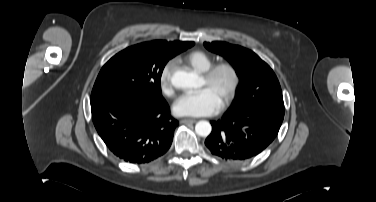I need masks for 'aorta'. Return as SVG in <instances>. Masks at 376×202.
Listing matches in <instances>:
<instances>
[{
  "mask_svg": "<svg viewBox=\"0 0 376 202\" xmlns=\"http://www.w3.org/2000/svg\"><path fill=\"white\" fill-rule=\"evenodd\" d=\"M198 79L199 77L195 72L178 70L173 74L171 83L175 88L189 89L198 85ZM211 130V124L205 120H201L195 125L196 133L202 137H207L211 133Z\"/></svg>",
  "mask_w": 376,
  "mask_h": 202,
  "instance_id": "762f6f07",
  "label": "aorta"
}]
</instances>
